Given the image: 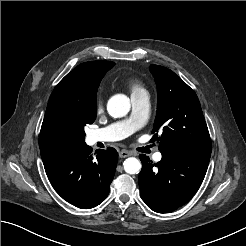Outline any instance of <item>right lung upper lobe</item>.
I'll list each match as a JSON object with an SVG mask.
<instances>
[{"mask_svg": "<svg viewBox=\"0 0 246 246\" xmlns=\"http://www.w3.org/2000/svg\"><path fill=\"white\" fill-rule=\"evenodd\" d=\"M114 64V62L102 60L82 63L56 85L49 98L42 123L39 136L40 148L61 139L59 130L66 108L86 98L92 85L100 78L102 79Z\"/></svg>", "mask_w": 246, "mask_h": 246, "instance_id": "obj_1", "label": "right lung upper lobe"}]
</instances>
